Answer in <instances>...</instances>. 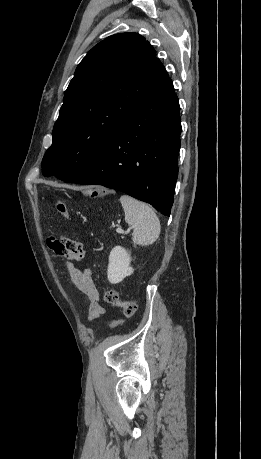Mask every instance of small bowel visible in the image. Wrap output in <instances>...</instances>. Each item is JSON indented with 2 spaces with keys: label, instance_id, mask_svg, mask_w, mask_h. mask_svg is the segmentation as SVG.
I'll list each match as a JSON object with an SVG mask.
<instances>
[{
  "label": "small bowel",
  "instance_id": "1",
  "mask_svg": "<svg viewBox=\"0 0 261 459\" xmlns=\"http://www.w3.org/2000/svg\"><path fill=\"white\" fill-rule=\"evenodd\" d=\"M48 246L59 255L67 258V270L69 272L71 281L75 287L82 292L90 302L89 305V319L93 320L98 318L105 312V309L99 303V293L92 279V272L90 269L80 270L74 266L71 261H81L85 258V251L81 244L72 238L48 240Z\"/></svg>",
  "mask_w": 261,
  "mask_h": 459
}]
</instances>
